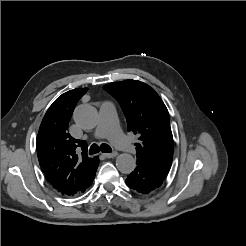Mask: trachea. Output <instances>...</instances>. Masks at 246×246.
Returning a JSON list of instances; mask_svg holds the SVG:
<instances>
[{"label": "trachea", "instance_id": "1", "mask_svg": "<svg viewBox=\"0 0 246 246\" xmlns=\"http://www.w3.org/2000/svg\"><path fill=\"white\" fill-rule=\"evenodd\" d=\"M99 151L104 152V153H111L112 149L109 145L102 143L100 146H98L97 144H92L90 149H89V154H96Z\"/></svg>", "mask_w": 246, "mask_h": 246}]
</instances>
